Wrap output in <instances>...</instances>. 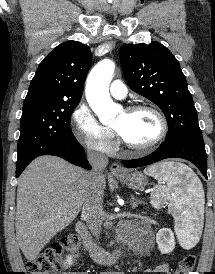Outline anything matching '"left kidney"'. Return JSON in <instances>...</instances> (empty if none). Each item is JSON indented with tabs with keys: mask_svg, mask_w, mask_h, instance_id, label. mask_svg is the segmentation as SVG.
Wrapping results in <instances>:
<instances>
[{
	"mask_svg": "<svg viewBox=\"0 0 215 274\" xmlns=\"http://www.w3.org/2000/svg\"><path fill=\"white\" fill-rule=\"evenodd\" d=\"M156 242L162 254L171 253L175 248V237L171 229L162 228L156 234Z\"/></svg>",
	"mask_w": 215,
	"mask_h": 274,
	"instance_id": "1",
	"label": "left kidney"
}]
</instances>
